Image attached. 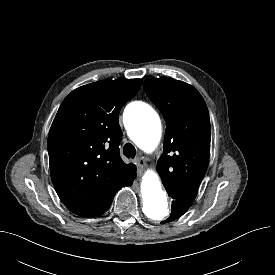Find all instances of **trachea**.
Instances as JSON below:
<instances>
[{
    "label": "trachea",
    "instance_id": "trachea-1",
    "mask_svg": "<svg viewBox=\"0 0 275 275\" xmlns=\"http://www.w3.org/2000/svg\"><path fill=\"white\" fill-rule=\"evenodd\" d=\"M123 151H124V155L127 157V158H134L135 155H136V149L135 147L130 144V143H126L124 145V148H123Z\"/></svg>",
    "mask_w": 275,
    "mask_h": 275
}]
</instances>
